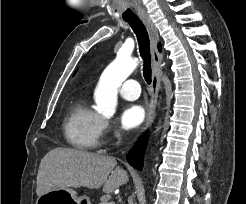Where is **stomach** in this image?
I'll return each instance as SVG.
<instances>
[{"instance_id":"0dacf381","label":"stomach","mask_w":246,"mask_h":204,"mask_svg":"<svg viewBox=\"0 0 246 204\" xmlns=\"http://www.w3.org/2000/svg\"><path fill=\"white\" fill-rule=\"evenodd\" d=\"M36 204H91L86 196H80L70 188L51 190L37 198Z\"/></svg>"}]
</instances>
